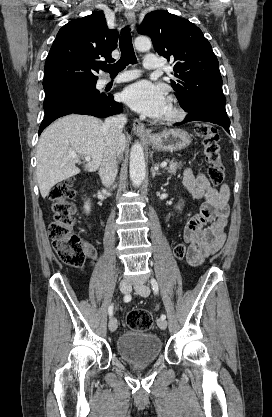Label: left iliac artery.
Masks as SVG:
<instances>
[{"label": "left iliac artery", "mask_w": 272, "mask_h": 417, "mask_svg": "<svg viewBox=\"0 0 272 417\" xmlns=\"http://www.w3.org/2000/svg\"><path fill=\"white\" fill-rule=\"evenodd\" d=\"M151 286H152V289H153L154 293H155V294H158V292H159V287H158V283H157V281H156L154 278H152V279H151ZM161 318H162V319H166V315H165V314H162V315H161Z\"/></svg>", "instance_id": "44dca946"}]
</instances>
